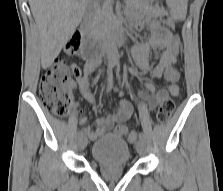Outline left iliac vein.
I'll list each match as a JSON object with an SVG mask.
<instances>
[{"label": "left iliac vein", "instance_id": "4c4485c4", "mask_svg": "<svg viewBox=\"0 0 223 191\" xmlns=\"http://www.w3.org/2000/svg\"><path fill=\"white\" fill-rule=\"evenodd\" d=\"M136 150L138 152V154L140 156H143L146 152V145H145V142L142 141V140H139L137 143H136Z\"/></svg>", "mask_w": 223, "mask_h": 191}]
</instances>
